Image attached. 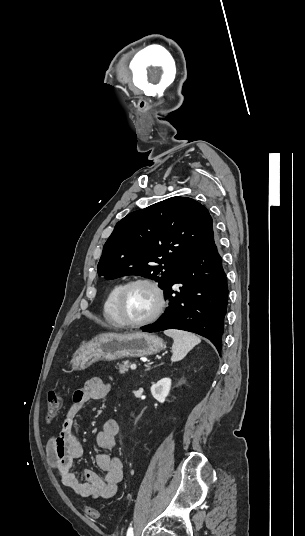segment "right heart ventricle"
<instances>
[{
	"label": "right heart ventricle",
	"instance_id": "e07e8e85",
	"mask_svg": "<svg viewBox=\"0 0 305 536\" xmlns=\"http://www.w3.org/2000/svg\"><path fill=\"white\" fill-rule=\"evenodd\" d=\"M123 284L124 283L121 281L115 283L109 290L105 298L104 304H103V310H102L103 318L109 325L114 326V327L121 326V321L116 314L115 300Z\"/></svg>",
	"mask_w": 305,
	"mask_h": 536
}]
</instances>
